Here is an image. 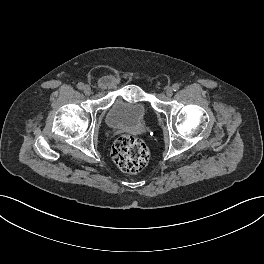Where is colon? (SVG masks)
Wrapping results in <instances>:
<instances>
[{
	"mask_svg": "<svg viewBox=\"0 0 264 264\" xmlns=\"http://www.w3.org/2000/svg\"><path fill=\"white\" fill-rule=\"evenodd\" d=\"M111 154L117 166L127 173L142 171L149 161V150L145 143L130 135L119 137L113 144Z\"/></svg>",
	"mask_w": 264,
	"mask_h": 264,
	"instance_id": "5ec220e1",
	"label": "colon"
}]
</instances>
